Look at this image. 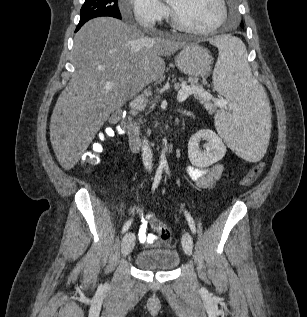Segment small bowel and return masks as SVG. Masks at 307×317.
I'll list each match as a JSON object with an SVG mask.
<instances>
[{
    "label": "small bowel",
    "mask_w": 307,
    "mask_h": 317,
    "mask_svg": "<svg viewBox=\"0 0 307 317\" xmlns=\"http://www.w3.org/2000/svg\"><path fill=\"white\" fill-rule=\"evenodd\" d=\"M223 170L222 164H215L205 168L190 166L187 168V174L199 188L208 189L221 179ZM147 228L148 223L143 220L138 232V240L145 245H151L155 241L156 235L149 233Z\"/></svg>",
    "instance_id": "c3829d8e"
}]
</instances>
